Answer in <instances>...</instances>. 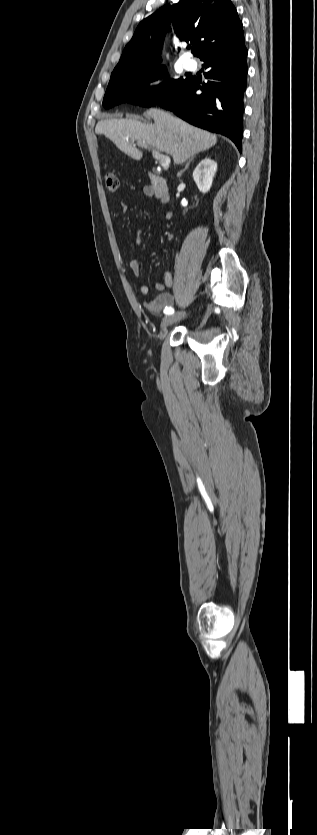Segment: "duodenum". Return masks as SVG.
<instances>
[{"label": "duodenum", "mask_w": 317, "mask_h": 835, "mask_svg": "<svg viewBox=\"0 0 317 835\" xmlns=\"http://www.w3.org/2000/svg\"><path fill=\"white\" fill-rule=\"evenodd\" d=\"M149 179H150V186L153 189L156 197L161 202H167L169 200L170 196H169V192H168L165 180L162 177H160L158 175H155L153 173H149Z\"/></svg>", "instance_id": "410a0bca"}]
</instances>
